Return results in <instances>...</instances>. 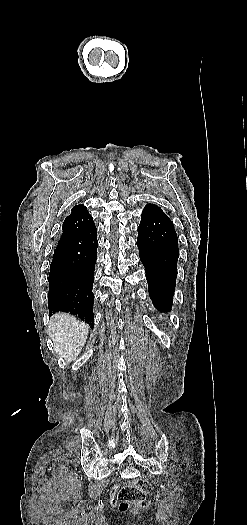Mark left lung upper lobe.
I'll return each mask as SVG.
<instances>
[{"label":"left lung upper lobe","mask_w":247,"mask_h":525,"mask_svg":"<svg viewBox=\"0 0 247 525\" xmlns=\"http://www.w3.org/2000/svg\"><path fill=\"white\" fill-rule=\"evenodd\" d=\"M142 214H154V215H158V216H161L163 218L169 219L168 216L163 212V210L160 207H158L155 204H151V203H149V204H147L145 206V208L143 209Z\"/></svg>","instance_id":"1"}]
</instances>
